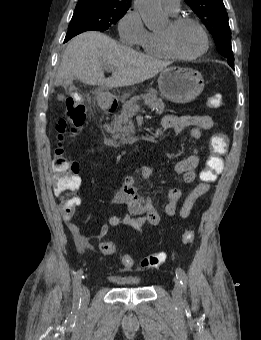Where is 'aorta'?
Returning <instances> with one entry per match:
<instances>
[{"label": "aorta", "mask_w": 261, "mask_h": 340, "mask_svg": "<svg viewBox=\"0 0 261 340\" xmlns=\"http://www.w3.org/2000/svg\"><path fill=\"white\" fill-rule=\"evenodd\" d=\"M135 6L148 28L158 27L166 21L160 0H135Z\"/></svg>", "instance_id": "obj_1"}]
</instances>
